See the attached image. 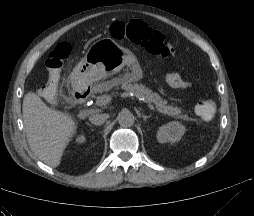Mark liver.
<instances>
[{
	"mask_svg": "<svg viewBox=\"0 0 254 216\" xmlns=\"http://www.w3.org/2000/svg\"><path fill=\"white\" fill-rule=\"evenodd\" d=\"M24 127L35 155L51 167L59 166L77 125L69 114L49 108L35 93H28L22 105Z\"/></svg>",
	"mask_w": 254,
	"mask_h": 216,
	"instance_id": "liver-1",
	"label": "liver"
}]
</instances>
